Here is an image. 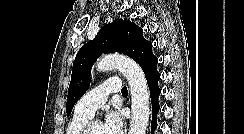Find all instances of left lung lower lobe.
Listing matches in <instances>:
<instances>
[{
    "label": "left lung lower lobe",
    "instance_id": "obj_1",
    "mask_svg": "<svg viewBox=\"0 0 244 134\" xmlns=\"http://www.w3.org/2000/svg\"><path fill=\"white\" fill-rule=\"evenodd\" d=\"M147 83L150 89V97L152 101V126H151V133H154V130L157 126V113L159 111V103H158V97L160 95V88L158 86V80L160 79V74L158 71H153L150 74L146 76Z\"/></svg>",
    "mask_w": 244,
    "mask_h": 134
}]
</instances>
